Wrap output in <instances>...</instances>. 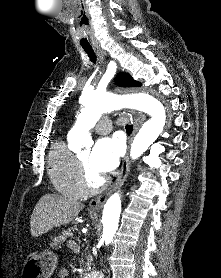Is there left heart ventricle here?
<instances>
[{
    "instance_id": "left-heart-ventricle-1",
    "label": "left heart ventricle",
    "mask_w": 221,
    "mask_h": 278,
    "mask_svg": "<svg viewBox=\"0 0 221 278\" xmlns=\"http://www.w3.org/2000/svg\"><path fill=\"white\" fill-rule=\"evenodd\" d=\"M79 157L82 160V162L87 166L88 170L90 171L93 182H97L99 179H101L102 176L96 173L90 166V153L89 152L82 153L81 155H79Z\"/></svg>"
}]
</instances>
